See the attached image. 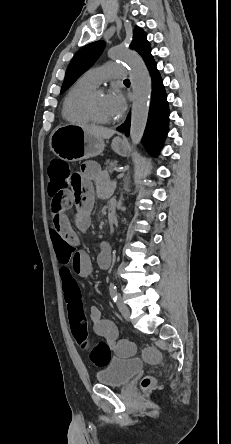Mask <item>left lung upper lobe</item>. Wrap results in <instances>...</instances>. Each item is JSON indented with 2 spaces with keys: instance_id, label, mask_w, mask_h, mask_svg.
<instances>
[{
  "instance_id": "obj_1",
  "label": "left lung upper lobe",
  "mask_w": 231,
  "mask_h": 444,
  "mask_svg": "<svg viewBox=\"0 0 231 444\" xmlns=\"http://www.w3.org/2000/svg\"><path fill=\"white\" fill-rule=\"evenodd\" d=\"M104 47V41H96L87 44L75 54L66 71L61 93L67 90L94 64ZM130 48L138 52L144 60L151 54L150 44L146 39V34L139 27H136L133 31V41L130 44Z\"/></svg>"
}]
</instances>
